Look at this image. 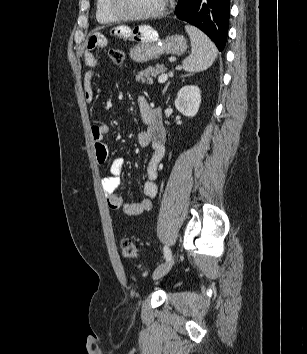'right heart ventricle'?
Here are the masks:
<instances>
[{"label": "right heart ventricle", "mask_w": 307, "mask_h": 354, "mask_svg": "<svg viewBox=\"0 0 307 354\" xmlns=\"http://www.w3.org/2000/svg\"><path fill=\"white\" fill-rule=\"evenodd\" d=\"M96 19L103 24H111L118 20L109 11L107 0H96Z\"/></svg>", "instance_id": "e07e8e85"}]
</instances>
